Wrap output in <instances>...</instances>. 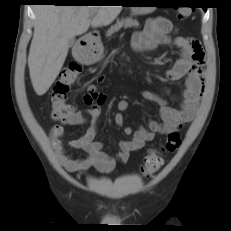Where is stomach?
<instances>
[{
	"mask_svg": "<svg viewBox=\"0 0 231 231\" xmlns=\"http://www.w3.org/2000/svg\"><path fill=\"white\" fill-rule=\"evenodd\" d=\"M134 3L138 4H157L158 1L155 0H138L134 1ZM156 7H131L133 14L135 15H143L153 12ZM103 54V46L101 43L97 42L94 46H92L88 51H86L83 61L88 64H92L99 59H101Z\"/></svg>",
	"mask_w": 231,
	"mask_h": 231,
	"instance_id": "1",
	"label": "stomach"
}]
</instances>
